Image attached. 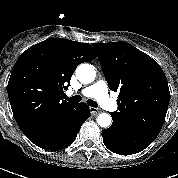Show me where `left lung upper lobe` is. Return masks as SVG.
<instances>
[{"instance_id": "left-lung-upper-lobe-1", "label": "left lung upper lobe", "mask_w": 178, "mask_h": 178, "mask_svg": "<svg viewBox=\"0 0 178 178\" xmlns=\"http://www.w3.org/2000/svg\"><path fill=\"white\" fill-rule=\"evenodd\" d=\"M109 88L119 92L114 120L156 138L170 100L159 64L126 42L93 43Z\"/></svg>"}]
</instances>
